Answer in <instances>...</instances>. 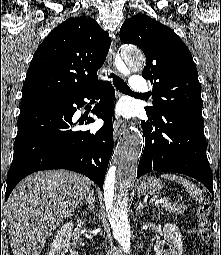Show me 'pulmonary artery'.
Listing matches in <instances>:
<instances>
[{
  "label": "pulmonary artery",
  "mask_w": 221,
  "mask_h": 255,
  "mask_svg": "<svg viewBox=\"0 0 221 255\" xmlns=\"http://www.w3.org/2000/svg\"><path fill=\"white\" fill-rule=\"evenodd\" d=\"M130 88L137 94H145L149 91L148 83L140 75L131 77Z\"/></svg>",
  "instance_id": "obj_1"
}]
</instances>
